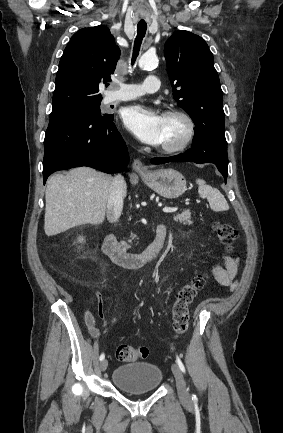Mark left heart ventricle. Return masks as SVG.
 <instances>
[{
	"instance_id": "obj_1",
	"label": "left heart ventricle",
	"mask_w": 283,
	"mask_h": 433,
	"mask_svg": "<svg viewBox=\"0 0 283 433\" xmlns=\"http://www.w3.org/2000/svg\"><path fill=\"white\" fill-rule=\"evenodd\" d=\"M164 143L160 150L175 146L186 134V123L177 116H163Z\"/></svg>"
}]
</instances>
